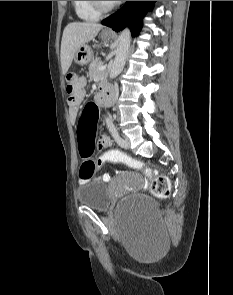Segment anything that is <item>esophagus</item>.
<instances>
[{
  "label": "esophagus",
  "mask_w": 233,
  "mask_h": 295,
  "mask_svg": "<svg viewBox=\"0 0 233 295\" xmlns=\"http://www.w3.org/2000/svg\"><path fill=\"white\" fill-rule=\"evenodd\" d=\"M106 31H108V32H111V31H112V29L108 28V29H106Z\"/></svg>",
  "instance_id": "34e87169"
}]
</instances>
